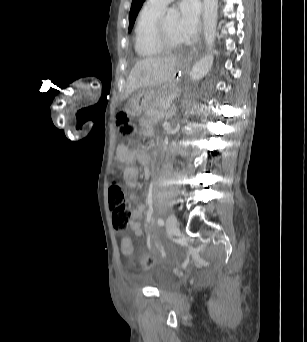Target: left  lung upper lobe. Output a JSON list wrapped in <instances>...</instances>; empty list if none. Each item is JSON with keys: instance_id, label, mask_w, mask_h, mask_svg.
Returning a JSON list of instances; mask_svg holds the SVG:
<instances>
[{"instance_id": "5c2ea615", "label": "left lung upper lobe", "mask_w": 307, "mask_h": 342, "mask_svg": "<svg viewBox=\"0 0 307 342\" xmlns=\"http://www.w3.org/2000/svg\"><path fill=\"white\" fill-rule=\"evenodd\" d=\"M145 0H133L129 13V31H131L135 22L136 16Z\"/></svg>"}]
</instances>
